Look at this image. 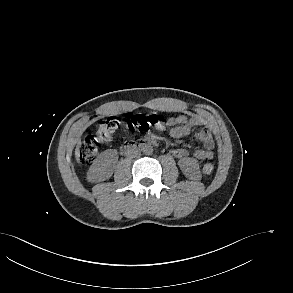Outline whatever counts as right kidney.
Instances as JSON below:
<instances>
[{"instance_id": "obj_1", "label": "right kidney", "mask_w": 293, "mask_h": 293, "mask_svg": "<svg viewBox=\"0 0 293 293\" xmlns=\"http://www.w3.org/2000/svg\"><path fill=\"white\" fill-rule=\"evenodd\" d=\"M112 175V169L107 161H96L89 169L87 179L90 182H100Z\"/></svg>"}]
</instances>
